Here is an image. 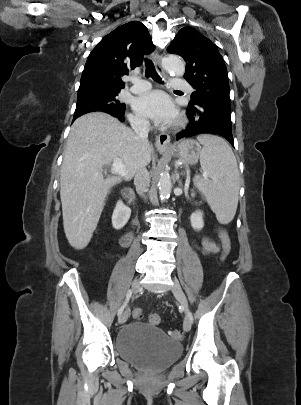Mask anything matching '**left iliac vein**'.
I'll return each mask as SVG.
<instances>
[{"instance_id":"4c4485c4","label":"left iliac vein","mask_w":301,"mask_h":405,"mask_svg":"<svg viewBox=\"0 0 301 405\" xmlns=\"http://www.w3.org/2000/svg\"><path fill=\"white\" fill-rule=\"evenodd\" d=\"M172 292H173L174 296L176 297V299L178 300V302L184 308L185 312L187 313L189 310L188 301H187V298H186L178 280H176V279H174V283L172 286ZM183 329L186 332L190 331V329H191V320H190L188 314L185 317V320L183 323Z\"/></svg>"}]
</instances>
